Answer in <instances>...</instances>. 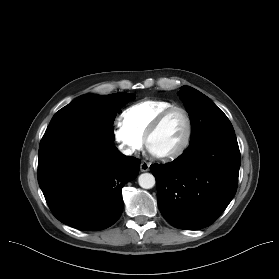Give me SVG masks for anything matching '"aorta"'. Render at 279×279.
Listing matches in <instances>:
<instances>
[{
	"label": "aorta",
	"instance_id": "762f6f07",
	"mask_svg": "<svg viewBox=\"0 0 279 279\" xmlns=\"http://www.w3.org/2000/svg\"><path fill=\"white\" fill-rule=\"evenodd\" d=\"M138 183L140 187L144 189H150L154 187L156 180L153 174L151 173H143L138 178Z\"/></svg>",
	"mask_w": 279,
	"mask_h": 279
}]
</instances>
